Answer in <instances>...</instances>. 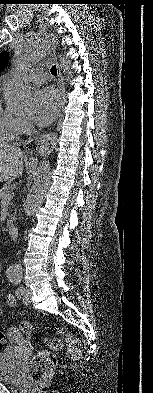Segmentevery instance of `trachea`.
Returning <instances> with one entry per match:
<instances>
[{"label":"trachea","instance_id":"obj_1","mask_svg":"<svg viewBox=\"0 0 153 393\" xmlns=\"http://www.w3.org/2000/svg\"><path fill=\"white\" fill-rule=\"evenodd\" d=\"M50 72L52 75L57 76V68L55 65L51 67Z\"/></svg>","mask_w":153,"mask_h":393}]
</instances>
